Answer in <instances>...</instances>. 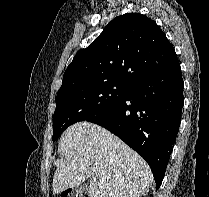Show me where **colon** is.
I'll return each instance as SVG.
<instances>
[{"mask_svg":"<svg viewBox=\"0 0 209 197\" xmlns=\"http://www.w3.org/2000/svg\"><path fill=\"white\" fill-rule=\"evenodd\" d=\"M61 197H84V196L76 191H69L62 193Z\"/></svg>","mask_w":209,"mask_h":197,"instance_id":"colon-1","label":"colon"}]
</instances>
